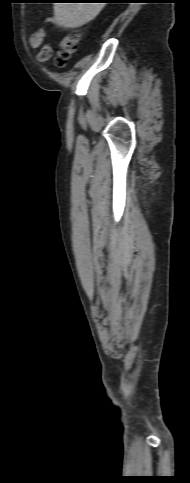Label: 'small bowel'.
Listing matches in <instances>:
<instances>
[{"label":"small bowel","instance_id":"small-bowel-1","mask_svg":"<svg viewBox=\"0 0 190 483\" xmlns=\"http://www.w3.org/2000/svg\"><path fill=\"white\" fill-rule=\"evenodd\" d=\"M57 21L54 17H48L45 20V25L34 32L30 37V45L34 49L40 48L37 58L41 62H46L52 56V47L50 44L46 43L45 40L48 35V28L52 25H56ZM69 37L65 36L60 41V46H64L68 43Z\"/></svg>","mask_w":190,"mask_h":483}]
</instances>
